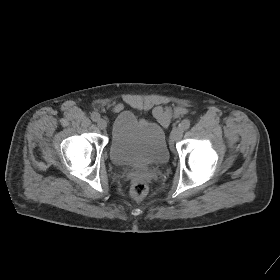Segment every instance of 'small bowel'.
<instances>
[{
	"mask_svg": "<svg viewBox=\"0 0 280 280\" xmlns=\"http://www.w3.org/2000/svg\"><path fill=\"white\" fill-rule=\"evenodd\" d=\"M114 108H118V105H115ZM185 112L186 110L179 106L173 109L157 107L154 110L155 116L165 125H168L173 117L183 115Z\"/></svg>",
	"mask_w": 280,
	"mask_h": 280,
	"instance_id": "obj_1",
	"label": "small bowel"
}]
</instances>
